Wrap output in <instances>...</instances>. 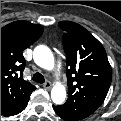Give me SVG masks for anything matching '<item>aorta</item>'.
<instances>
[{
	"label": "aorta",
	"mask_w": 121,
	"mask_h": 121,
	"mask_svg": "<svg viewBox=\"0 0 121 121\" xmlns=\"http://www.w3.org/2000/svg\"><path fill=\"white\" fill-rule=\"evenodd\" d=\"M34 62L41 68L51 70L54 68V56L45 45L35 47L33 52ZM51 99L57 104H63L66 99V89L63 84L56 83L51 90Z\"/></svg>",
	"instance_id": "1"
}]
</instances>
